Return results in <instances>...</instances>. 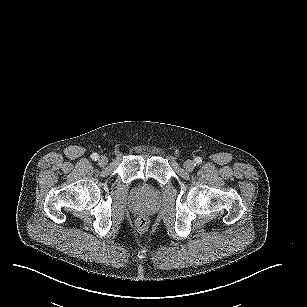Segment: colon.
Returning a JSON list of instances; mask_svg holds the SVG:
<instances>
[{
    "label": "colon",
    "mask_w": 307,
    "mask_h": 307,
    "mask_svg": "<svg viewBox=\"0 0 307 307\" xmlns=\"http://www.w3.org/2000/svg\"><path fill=\"white\" fill-rule=\"evenodd\" d=\"M136 225L138 230L145 231L148 228L149 220L146 216H140L136 221Z\"/></svg>",
    "instance_id": "obj_1"
}]
</instances>
